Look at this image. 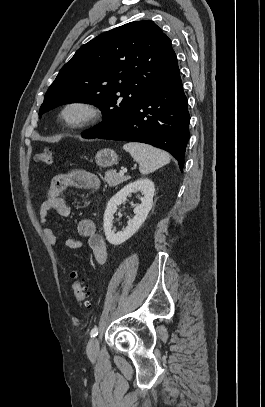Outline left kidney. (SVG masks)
Here are the masks:
<instances>
[{
    "mask_svg": "<svg viewBox=\"0 0 265 407\" xmlns=\"http://www.w3.org/2000/svg\"><path fill=\"white\" fill-rule=\"evenodd\" d=\"M139 191L142 192L143 198L141 204L134 208L135 216L128 221L126 228L115 233L112 226L117 207L126 201L129 194ZM154 192V183L148 178H141L126 185L108 201L103 222L104 232L110 244L114 246L120 245L138 231L152 208Z\"/></svg>",
    "mask_w": 265,
    "mask_h": 407,
    "instance_id": "1",
    "label": "left kidney"
}]
</instances>
